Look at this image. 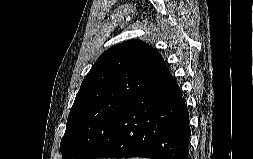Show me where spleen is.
Segmentation results:
<instances>
[{
  "mask_svg": "<svg viewBox=\"0 0 253 159\" xmlns=\"http://www.w3.org/2000/svg\"><path fill=\"white\" fill-rule=\"evenodd\" d=\"M130 159H143V158H130Z\"/></svg>",
  "mask_w": 253,
  "mask_h": 159,
  "instance_id": "obj_1",
  "label": "spleen"
}]
</instances>
